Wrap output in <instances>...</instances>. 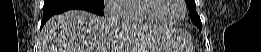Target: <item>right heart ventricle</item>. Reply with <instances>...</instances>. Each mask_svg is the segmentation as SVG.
I'll return each instance as SVG.
<instances>
[{
    "label": "right heart ventricle",
    "instance_id": "e07e8e85",
    "mask_svg": "<svg viewBox=\"0 0 261 52\" xmlns=\"http://www.w3.org/2000/svg\"><path fill=\"white\" fill-rule=\"evenodd\" d=\"M153 0H126L116 6L121 20L127 24H162L151 8Z\"/></svg>",
    "mask_w": 261,
    "mask_h": 52
}]
</instances>
